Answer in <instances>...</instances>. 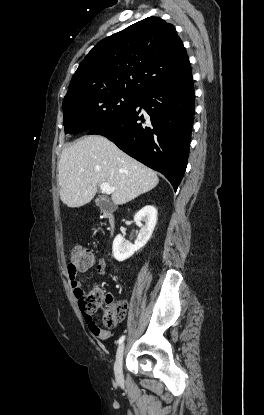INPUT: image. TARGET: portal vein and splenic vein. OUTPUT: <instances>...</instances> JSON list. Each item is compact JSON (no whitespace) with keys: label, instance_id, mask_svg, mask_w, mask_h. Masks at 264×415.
<instances>
[{"label":"portal vein and splenic vein","instance_id":"1","mask_svg":"<svg viewBox=\"0 0 264 415\" xmlns=\"http://www.w3.org/2000/svg\"><path fill=\"white\" fill-rule=\"evenodd\" d=\"M100 189L102 190L103 193L109 195L112 194L116 188L111 186L109 183L107 182H103L100 184Z\"/></svg>","mask_w":264,"mask_h":415}]
</instances>
